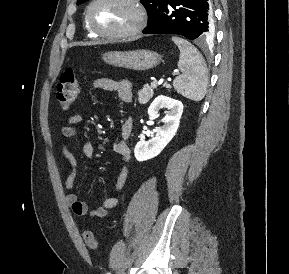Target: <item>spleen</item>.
Segmentation results:
<instances>
[{
	"instance_id": "3e777b00",
	"label": "spleen",
	"mask_w": 289,
	"mask_h": 274,
	"mask_svg": "<svg viewBox=\"0 0 289 274\" xmlns=\"http://www.w3.org/2000/svg\"><path fill=\"white\" fill-rule=\"evenodd\" d=\"M172 41L180 50L178 68L181 75L173 81V87L182 96L200 101L208 85V70L201 53L187 40L173 36Z\"/></svg>"
}]
</instances>
